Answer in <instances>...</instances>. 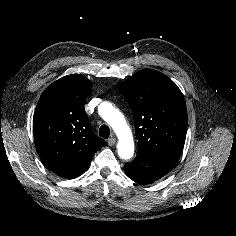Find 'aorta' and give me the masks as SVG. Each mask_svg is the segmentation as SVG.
<instances>
[{"label": "aorta", "instance_id": "obj_1", "mask_svg": "<svg viewBox=\"0 0 236 236\" xmlns=\"http://www.w3.org/2000/svg\"><path fill=\"white\" fill-rule=\"evenodd\" d=\"M99 114L112 127L118 137V155L121 159L128 160L134 154V141L132 132L121 112L112 104L103 102L99 106Z\"/></svg>", "mask_w": 236, "mask_h": 236}]
</instances>
